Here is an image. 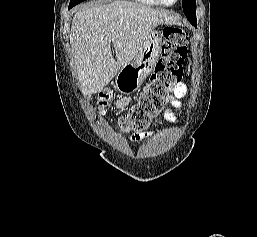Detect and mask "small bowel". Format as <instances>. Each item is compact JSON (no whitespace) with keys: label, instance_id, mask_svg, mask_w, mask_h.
<instances>
[{"label":"small bowel","instance_id":"small-bowel-1","mask_svg":"<svg viewBox=\"0 0 257 237\" xmlns=\"http://www.w3.org/2000/svg\"><path fill=\"white\" fill-rule=\"evenodd\" d=\"M186 93H187V88L184 83L179 82L175 85V87L173 88L172 95L170 97V101L175 108H179L181 106L180 100L186 96ZM131 100H132V98H130V97H125V98L119 99L116 102V108L121 109V108L126 107L131 102ZM164 118L169 122L176 121V117H175V114L172 109H167L164 112ZM153 134H154V131L136 133L131 137V141L140 142V141L152 136Z\"/></svg>","mask_w":257,"mask_h":237}]
</instances>
